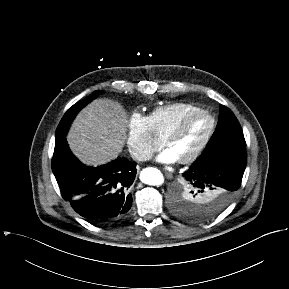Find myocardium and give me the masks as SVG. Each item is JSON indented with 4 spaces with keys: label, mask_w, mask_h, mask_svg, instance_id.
<instances>
[{
    "label": "myocardium",
    "mask_w": 289,
    "mask_h": 289,
    "mask_svg": "<svg viewBox=\"0 0 289 289\" xmlns=\"http://www.w3.org/2000/svg\"><path fill=\"white\" fill-rule=\"evenodd\" d=\"M204 115L210 120V126L202 138V140L198 143V145L190 151L186 156L178 159L180 163L187 164L191 163L194 160H196L200 154L204 151V149L209 144L216 128V119L212 115L211 112L205 109H198L193 112L188 113L185 115L176 125L175 127L163 138V144L164 146L168 147L169 143L178 138L182 135V133L185 131L188 123L196 116Z\"/></svg>",
    "instance_id": "myocardium-1"
}]
</instances>
